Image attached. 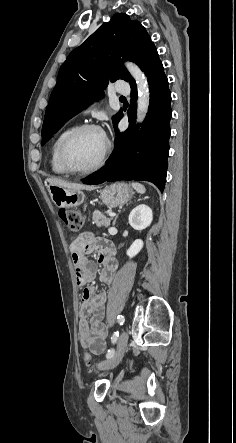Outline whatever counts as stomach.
<instances>
[{"label":"stomach","mask_w":236,"mask_h":443,"mask_svg":"<svg viewBox=\"0 0 236 443\" xmlns=\"http://www.w3.org/2000/svg\"><path fill=\"white\" fill-rule=\"evenodd\" d=\"M52 201L58 208H73L84 202L85 195L81 190L49 185ZM133 196L132 188L125 183H113L101 190L102 202L114 208L126 204Z\"/></svg>","instance_id":"obj_1"}]
</instances>
